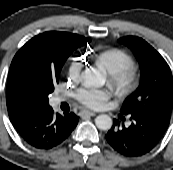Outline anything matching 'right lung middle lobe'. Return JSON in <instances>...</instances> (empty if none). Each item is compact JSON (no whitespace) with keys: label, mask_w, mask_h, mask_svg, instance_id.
I'll return each instance as SVG.
<instances>
[{"label":"right lung middle lobe","mask_w":173,"mask_h":170,"mask_svg":"<svg viewBox=\"0 0 173 170\" xmlns=\"http://www.w3.org/2000/svg\"><path fill=\"white\" fill-rule=\"evenodd\" d=\"M56 83H58V82H56ZM54 84L53 83H49V85L47 87H45L43 89V91L41 92L40 98H41V101H42V105H44V106H48L49 105L48 104V95L53 92Z\"/></svg>","instance_id":"obj_1"}]
</instances>
